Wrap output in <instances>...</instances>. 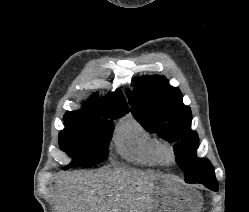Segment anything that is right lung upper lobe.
<instances>
[{"label":"right lung upper lobe","mask_w":249,"mask_h":212,"mask_svg":"<svg viewBox=\"0 0 249 212\" xmlns=\"http://www.w3.org/2000/svg\"><path fill=\"white\" fill-rule=\"evenodd\" d=\"M92 104H88L85 108L102 109V110H122L129 112L128 104L122 95V92L118 89L113 94L107 96L108 107H104L101 104V98L98 94L94 93L91 96Z\"/></svg>","instance_id":"obj_1"}]
</instances>
